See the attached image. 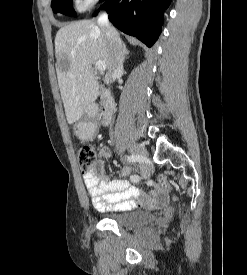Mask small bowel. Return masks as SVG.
I'll return each instance as SVG.
<instances>
[{
	"instance_id": "c3829d8e",
	"label": "small bowel",
	"mask_w": 247,
	"mask_h": 275,
	"mask_svg": "<svg viewBox=\"0 0 247 275\" xmlns=\"http://www.w3.org/2000/svg\"><path fill=\"white\" fill-rule=\"evenodd\" d=\"M110 157L108 148L99 151L98 164L83 175L84 184L91 197L94 207L100 211H126L138 206H159L168 200L169 188L161 180L149 181V192H143L131 186L124 177L128 176L132 168L124 167L119 176L111 178L106 175L103 163Z\"/></svg>"
}]
</instances>
